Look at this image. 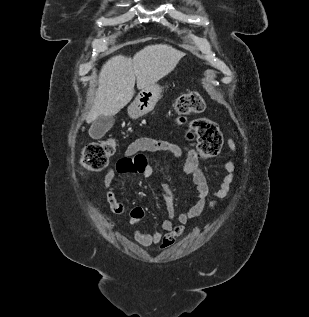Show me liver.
Masks as SVG:
<instances>
[{
	"instance_id": "liver-1",
	"label": "liver",
	"mask_w": 309,
	"mask_h": 317,
	"mask_svg": "<svg viewBox=\"0 0 309 317\" xmlns=\"http://www.w3.org/2000/svg\"><path fill=\"white\" fill-rule=\"evenodd\" d=\"M185 53L166 44L150 45L133 58L117 55L110 58L99 74L98 89L87 123L99 116H114L133 98L135 81L142 90L171 73Z\"/></svg>"
}]
</instances>
